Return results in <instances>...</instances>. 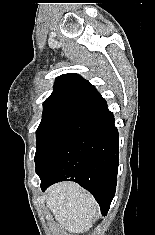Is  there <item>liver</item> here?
<instances>
[{
    "label": "liver",
    "mask_w": 155,
    "mask_h": 235,
    "mask_svg": "<svg viewBox=\"0 0 155 235\" xmlns=\"http://www.w3.org/2000/svg\"><path fill=\"white\" fill-rule=\"evenodd\" d=\"M46 204L60 226L77 235L92 227L98 212L94 197L74 182L51 186L47 192Z\"/></svg>",
    "instance_id": "6515ba94"
}]
</instances>
